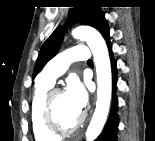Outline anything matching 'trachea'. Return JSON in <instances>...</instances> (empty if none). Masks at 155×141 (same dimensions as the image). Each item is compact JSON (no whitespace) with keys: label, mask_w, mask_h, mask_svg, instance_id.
Wrapping results in <instances>:
<instances>
[{"label":"trachea","mask_w":155,"mask_h":141,"mask_svg":"<svg viewBox=\"0 0 155 141\" xmlns=\"http://www.w3.org/2000/svg\"><path fill=\"white\" fill-rule=\"evenodd\" d=\"M87 63H92V60H91V59H89V60L87 61Z\"/></svg>","instance_id":"obj_1"}]
</instances>
